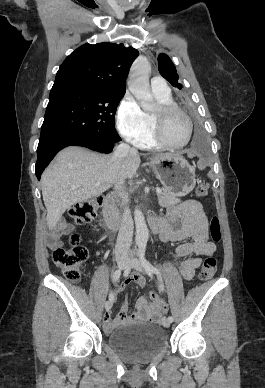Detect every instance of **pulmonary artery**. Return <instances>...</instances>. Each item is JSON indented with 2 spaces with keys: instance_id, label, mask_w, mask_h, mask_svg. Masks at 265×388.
Here are the masks:
<instances>
[{
  "instance_id": "e3ab8cb5",
  "label": "pulmonary artery",
  "mask_w": 265,
  "mask_h": 388,
  "mask_svg": "<svg viewBox=\"0 0 265 388\" xmlns=\"http://www.w3.org/2000/svg\"><path fill=\"white\" fill-rule=\"evenodd\" d=\"M151 81L152 90H169L170 84L165 83L164 79H161L159 75H154Z\"/></svg>"
}]
</instances>
